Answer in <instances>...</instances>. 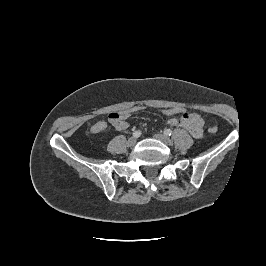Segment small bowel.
<instances>
[{"label":"small bowel","mask_w":266,"mask_h":266,"mask_svg":"<svg viewBox=\"0 0 266 266\" xmlns=\"http://www.w3.org/2000/svg\"><path fill=\"white\" fill-rule=\"evenodd\" d=\"M168 124L186 129L194 138H200L203 134V119L196 113H185L180 118H169ZM113 126L117 130L123 131L129 127V124L126 120H121ZM106 127L107 123L104 120H99L92 125L91 132L97 134L104 131Z\"/></svg>","instance_id":"c3829d8e"}]
</instances>
